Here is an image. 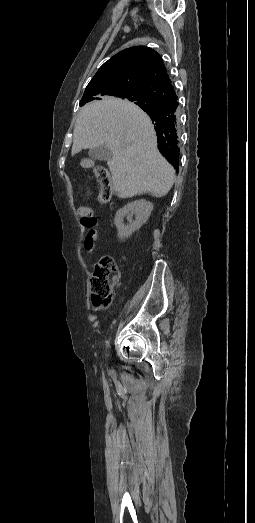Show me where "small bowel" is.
Here are the masks:
<instances>
[{"mask_svg":"<svg viewBox=\"0 0 255 523\" xmlns=\"http://www.w3.org/2000/svg\"><path fill=\"white\" fill-rule=\"evenodd\" d=\"M85 226H87L88 229L84 238L83 247L87 252L91 253L98 241L99 236L97 221L94 219L91 224Z\"/></svg>","mask_w":255,"mask_h":523,"instance_id":"small-bowel-1","label":"small bowel"}]
</instances>
